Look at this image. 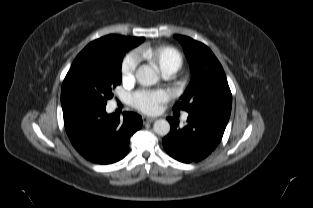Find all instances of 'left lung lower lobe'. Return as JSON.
<instances>
[{
  "instance_id": "1",
  "label": "left lung lower lobe",
  "mask_w": 313,
  "mask_h": 208,
  "mask_svg": "<svg viewBox=\"0 0 313 208\" xmlns=\"http://www.w3.org/2000/svg\"><path fill=\"white\" fill-rule=\"evenodd\" d=\"M171 131L163 138L166 152L174 159L198 162L207 157L219 144L229 118L219 114H189L188 124L179 128V121L168 117Z\"/></svg>"
}]
</instances>
